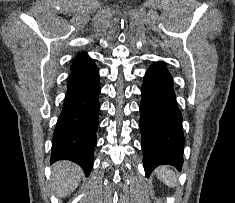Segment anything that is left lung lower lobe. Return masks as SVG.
<instances>
[{"label": "left lung lower lobe", "instance_id": "obj_1", "mask_svg": "<svg viewBox=\"0 0 235 203\" xmlns=\"http://www.w3.org/2000/svg\"><path fill=\"white\" fill-rule=\"evenodd\" d=\"M140 129L147 176L159 165L183 164L185 138L182 114L173 90V79L164 62L152 65L141 88Z\"/></svg>", "mask_w": 235, "mask_h": 203}]
</instances>
